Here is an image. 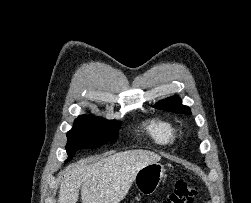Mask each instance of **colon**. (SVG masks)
I'll use <instances>...</instances> for the list:
<instances>
[{
  "label": "colon",
  "instance_id": "colon-1",
  "mask_svg": "<svg viewBox=\"0 0 251 203\" xmlns=\"http://www.w3.org/2000/svg\"><path fill=\"white\" fill-rule=\"evenodd\" d=\"M197 195V184L191 179H181L176 182L172 193L160 203H193Z\"/></svg>",
  "mask_w": 251,
  "mask_h": 203
}]
</instances>
